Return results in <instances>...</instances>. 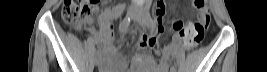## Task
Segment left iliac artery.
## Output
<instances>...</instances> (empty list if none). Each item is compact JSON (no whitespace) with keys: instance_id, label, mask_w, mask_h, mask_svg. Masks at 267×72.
<instances>
[{"instance_id":"44dca946","label":"left iliac artery","mask_w":267,"mask_h":72,"mask_svg":"<svg viewBox=\"0 0 267 72\" xmlns=\"http://www.w3.org/2000/svg\"><path fill=\"white\" fill-rule=\"evenodd\" d=\"M149 8H150V4L148 3V4L146 5V10H147V27H148L149 29L154 30L155 27H156V24H155V22L153 21V19L151 18V15H150V13H149ZM171 69L174 70L175 67L172 66Z\"/></svg>"}]
</instances>
